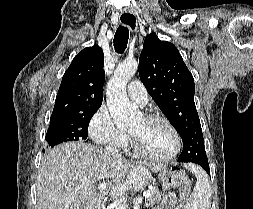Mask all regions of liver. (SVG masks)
Returning a JSON list of instances; mask_svg holds the SVG:
<instances>
[{"label": "liver", "mask_w": 253, "mask_h": 209, "mask_svg": "<svg viewBox=\"0 0 253 209\" xmlns=\"http://www.w3.org/2000/svg\"><path fill=\"white\" fill-rule=\"evenodd\" d=\"M157 172L160 167L149 164ZM150 179L144 164L116 159L94 145L68 142L49 149L43 156L37 177L38 209H101L110 188L116 197L128 190L143 189ZM103 181L107 189L97 193ZM123 191L113 194V188Z\"/></svg>", "instance_id": "liver-1"}]
</instances>
